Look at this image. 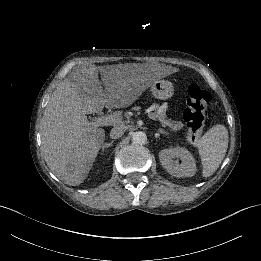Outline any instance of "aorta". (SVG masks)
I'll list each match as a JSON object with an SVG mask.
<instances>
[{"mask_svg":"<svg viewBox=\"0 0 261 261\" xmlns=\"http://www.w3.org/2000/svg\"><path fill=\"white\" fill-rule=\"evenodd\" d=\"M147 142V135L142 131H136L132 134V143L143 145Z\"/></svg>","mask_w":261,"mask_h":261,"instance_id":"762f6f07","label":"aorta"}]
</instances>
